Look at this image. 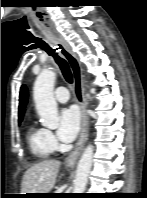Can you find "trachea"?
Instances as JSON below:
<instances>
[{
    "mask_svg": "<svg viewBox=\"0 0 147 198\" xmlns=\"http://www.w3.org/2000/svg\"><path fill=\"white\" fill-rule=\"evenodd\" d=\"M43 49L50 55L53 56L55 62L58 64V66L60 67L62 74L64 76V78L66 79L67 82L72 83L73 82V76L71 73V70L69 68L68 63L66 62L65 59L61 58L57 53L54 52V50H52L51 47L49 46H44ZM57 50V49H55Z\"/></svg>",
    "mask_w": 147,
    "mask_h": 198,
    "instance_id": "obj_1",
    "label": "trachea"
}]
</instances>
